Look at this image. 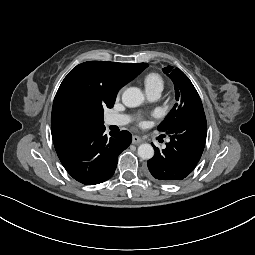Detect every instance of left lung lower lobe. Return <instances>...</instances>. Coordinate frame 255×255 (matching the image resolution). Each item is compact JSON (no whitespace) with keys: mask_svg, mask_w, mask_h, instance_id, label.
<instances>
[{"mask_svg":"<svg viewBox=\"0 0 255 255\" xmlns=\"http://www.w3.org/2000/svg\"><path fill=\"white\" fill-rule=\"evenodd\" d=\"M166 134L170 142L148 160L150 175L161 183H176L186 178L199 162L207 136L204 110L176 124Z\"/></svg>","mask_w":255,"mask_h":255,"instance_id":"0a47b994","label":"left lung lower lobe"}]
</instances>
